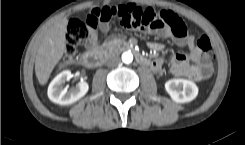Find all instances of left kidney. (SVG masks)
<instances>
[{"label":"left kidney","mask_w":245,"mask_h":145,"mask_svg":"<svg viewBox=\"0 0 245 145\" xmlns=\"http://www.w3.org/2000/svg\"><path fill=\"white\" fill-rule=\"evenodd\" d=\"M165 89L171 99L177 103H187L198 95L197 85L185 79H171L165 83Z\"/></svg>","instance_id":"1"}]
</instances>
